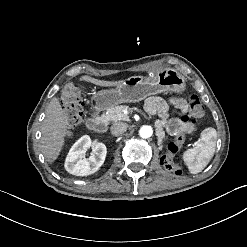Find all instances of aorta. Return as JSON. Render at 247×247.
Instances as JSON below:
<instances>
[{"label": "aorta", "mask_w": 247, "mask_h": 247, "mask_svg": "<svg viewBox=\"0 0 247 247\" xmlns=\"http://www.w3.org/2000/svg\"><path fill=\"white\" fill-rule=\"evenodd\" d=\"M152 134H153V130L151 126L145 125V126H142L139 130V135L142 138H149L152 136Z\"/></svg>", "instance_id": "aorta-1"}]
</instances>
